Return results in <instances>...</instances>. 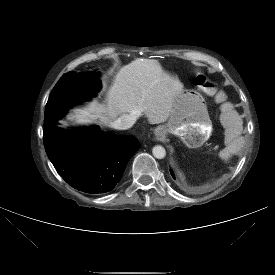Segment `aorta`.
Wrapping results in <instances>:
<instances>
[{"instance_id":"1","label":"aorta","mask_w":275,"mask_h":275,"mask_svg":"<svg viewBox=\"0 0 275 275\" xmlns=\"http://www.w3.org/2000/svg\"><path fill=\"white\" fill-rule=\"evenodd\" d=\"M153 156L157 159H163L166 156V151L162 146H155L152 149Z\"/></svg>"}]
</instances>
